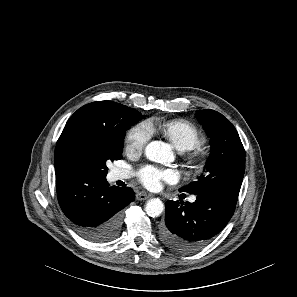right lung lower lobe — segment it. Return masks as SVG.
<instances>
[{
	"mask_svg": "<svg viewBox=\"0 0 297 297\" xmlns=\"http://www.w3.org/2000/svg\"><path fill=\"white\" fill-rule=\"evenodd\" d=\"M60 207L75 231L88 241L114 240L122 227V209L134 200L131 188L110 187L105 177L74 172L56 180Z\"/></svg>",
	"mask_w": 297,
	"mask_h": 297,
	"instance_id": "98d812e1",
	"label": "right lung lower lobe"
}]
</instances>
